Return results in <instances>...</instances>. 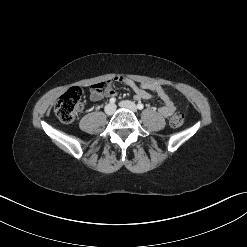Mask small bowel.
<instances>
[{
	"label": "small bowel",
	"instance_id": "c3829d8e",
	"mask_svg": "<svg viewBox=\"0 0 247 247\" xmlns=\"http://www.w3.org/2000/svg\"><path fill=\"white\" fill-rule=\"evenodd\" d=\"M113 82L132 88L134 90V97L136 100L150 99L152 95L148 92V90L154 92L155 96L162 101V106L159 109V113L165 118L170 117L175 111V106L172 99L161 85L155 83H136L134 80L122 76L115 77L113 81H108L107 86L103 91L91 92L90 99L92 101H99L105 96L114 98L117 95V92L112 87Z\"/></svg>",
	"mask_w": 247,
	"mask_h": 247
}]
</instances>
